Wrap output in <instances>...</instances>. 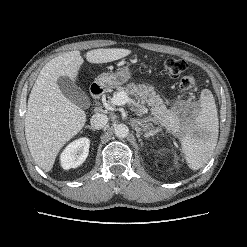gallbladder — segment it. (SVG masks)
<instances>
[{
	"label": "gallbladder",
	"instance_id": "1",
	"mask_svg": "<svg viewBox=\"0 0 247 247\" xmlns=\"http://www.w3.org/2000/svg\"><path fill=\"white\" fill-rule=\"evenodd\" d=\"M62 94L70 101L81 108H88L90 106V99L88 95L68 76H61L57 80Z\"/></svg>",
	"mask_w": 247,
	"mask_h": 247
}]
</instances>
